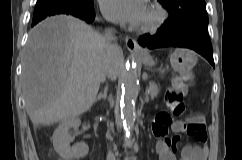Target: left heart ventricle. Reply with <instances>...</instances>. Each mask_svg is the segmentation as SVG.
<instances>
[{
	"mask_svg": "<svg viewBox=\"0 0 242 160\" xmlns=\"http://www.w3.org/2000/svg\"><path fill=\"white\" fill-rule=\"evenodd\" d=\"M154 18V13L153 11L150 9V7L148 5H146L145 11L143 13L142 19L140 21V24L146 23V22H150L152 19Z\"/></svg>",
	"mask_w": 242,
	"mask_h": 160,
	"instance_id": "left-heart-ventricle-1",
	"label": "left heart ventricle"
}]
</instances>
